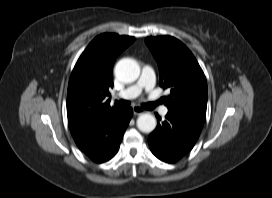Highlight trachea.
Instances as JSON below:
<instances>
[{
    "mask_svg": "<svg viewBox=\"0 0 272 198\" xmlns=\"http://www.w3.org/2000/svg\"><path fill=\"white\" fill-rule=\"evenodd\" d=\"M118 104L121 107H128V106H130V102L127 101V100H120V101H118ZM158 104H159V101L158 102H150V103L142 104V107H144L145 109L151 110V109H154Z\"/></svg>",
    "mask_w": 272,
    "mask_h": 198,
    "instance_id": "trachea-1",
    "label": "trachea"
}]
</instances>
